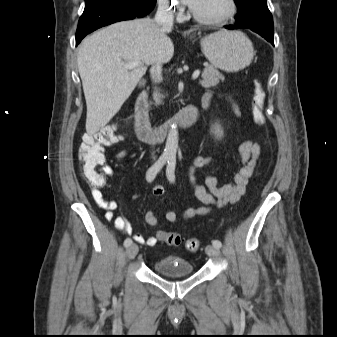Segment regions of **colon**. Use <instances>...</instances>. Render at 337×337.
I'll list each match as a JSON object with an SVG mask.
<instances>
[{
	"label": "colon",
	"instance_id": "obj_1",
	"mask_svg": "<svg viewBox=\"0 0 337 337\" xmlns=\"http://www.w3.org/2000/svg\"><path fill=\"white\" fill-rule=\"evenodd\" d=\"M266 93L261 82L253 83L252 92V116L257 125H264V103ZM120 134L114 127H106L94 133H86L78 149V158L84 178L93 188H100L105 184L102 168L105 164V148L115 144ZM160 241L170 246L184 245L188 251H196L200 247L198 238H183L178 233L158 231Z\"/></svg>",
	"mask_w": 337,
	"mask_h": 337
}]
</instances>
